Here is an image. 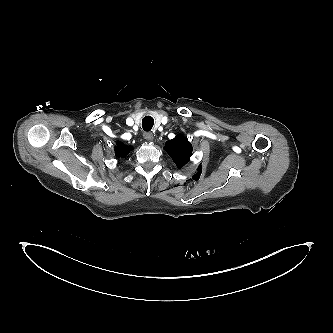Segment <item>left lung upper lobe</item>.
I'll return each instance as SVG.
<instances>
[{"mask_svg":"<svg viewBox=\"0 0 333 333\" xmlns=\"http://www.w3.org/2000/svg\"><path fill=\"white\" fill-rule=\"evenodd\" d=\"M165 149L178 168H182L189 161L192 152L191 144L180 134L167 141Z\"/></svg>","mask_w":333,"mask_h":333,"instance_id":"5c2ea615","label":"left lung upper lobe"}]
</instances>
